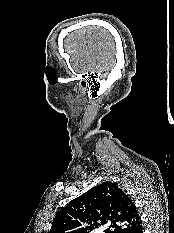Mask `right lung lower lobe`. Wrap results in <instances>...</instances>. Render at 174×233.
I'll return each mask as SVG.
<instances>
[{
	"label": "right lung lower lobe",
	"instance_id": "1",
	"mask_svg": "<svg viewBox=\"0 0 174 233\" xmlns=\"http://www.w3.org/2000/svg\"><path fill=\"white\" fill-rule=\"evenodd\" d=\"M135 233H143L142 226L139 227V228L135 231Z\"/></svg>",
	"mask_w": 174,
	"mask_h": 233
}]
</instances>
